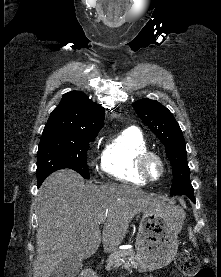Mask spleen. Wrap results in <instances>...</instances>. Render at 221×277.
Listing matches in <instances>:
<instances>
[{
    "instance_id": "spleen-1",
    "label": "spleen",
    "mask_w": 221,
    "mask_h": 277,
    "mask_svg": "<svg viewBox=\"0 0 221 277\" xmlns=\"http://www.w3.org/2000/svg\"><path fill=\"white\" fill-rule=\"evenodd\" d=\"M189 238L192 241V243L194 244V246H197L196 238H195L194 234L192 233L191 228L189 229Z\"/></svg>"
}]
</instances>
